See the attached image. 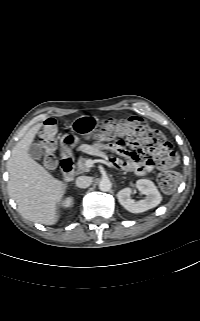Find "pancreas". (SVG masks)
<instances>
[{"mask_svg":"<svg viewBox=\"0 0 200 321\" xmlns=\"http://www.w3.org/2000/svg\"><path fill=\"white\" fill-rule=\"evenodd\" d=\"M88 159L85 157H80L77 162V169L79 172L89 171V168L86 166V161Z\"/></svg>","mask_w":200,"mask_h":321,"instance_id":"pancreas-1","label":"pancreas"}]
</instances>
